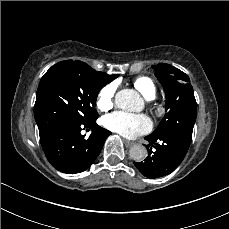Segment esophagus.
<instances>
[{
  "instance_id": "esophagus-1",
  "label": "esophagus",
  "mask_w": 229,
  "mask_h": 229,
  "mask_svg": "<svg viewBox=\"0 0 229 229\" xmlns=\"http://www.w3.org/2000/svg\"><path fill=\"white\" fill-rule=\"evenodd\" d=\"M135 143L129 140H124V145L126 148H131Z\"/></svg>"
}]
</instances>
